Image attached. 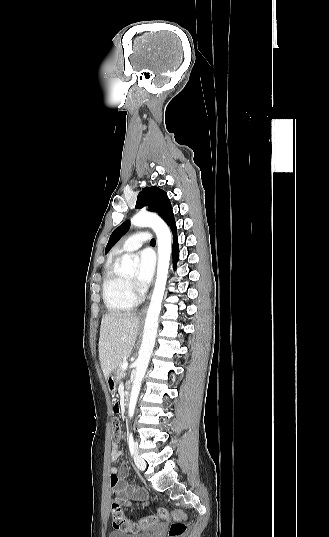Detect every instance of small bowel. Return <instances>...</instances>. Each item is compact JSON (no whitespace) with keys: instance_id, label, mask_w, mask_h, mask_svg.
I'll use <instances>...</instances> for the list:
<instances>
[{"instance_id":"c3829d8e","label":"small bowel","mask_w":329,"mask_h":537,"mask_svg":"<svg viewBox=\"0 0 329 537\" xmlns=\"http://www.w3.org/2000/svg\"><path fill=\"white\" fill-rule=\"evenodd\" d=\"M113 413H118L123 410L124 405L121 398L116 397L112 401ZM123 455V450L120 449L116 442L111 445V458L112 461H117ZM128 467L123 464L121 466H113L111 468L110 484L113 488L114 495L112 499L118 501L123 500L124 503L132 498L141 495V492L130 482L127 481Z\"/></svg>"}]
</instances>
